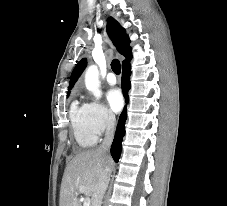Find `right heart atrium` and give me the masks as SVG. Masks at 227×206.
Wrapping results in <instances>:
<instances>
[{
	"label": "right heart atrium",
	"instance_id": "d8ad5b80",
	"mask_svg": "<svg viewBox=\"0 0 227 206\" xmlns=\"http://www.w3.org/2000/svg\"><path fill=\"white\" fill-rule=\"evenodd\" d=\"M84 105L89 126L97 136L102 135L113 128L115 118L101 102L91 100Z\"/></svg>",
	"mask_w": 227,
	"mask_h": 206
}]
</instances>
